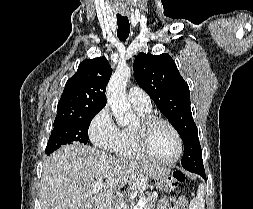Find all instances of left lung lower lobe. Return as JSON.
<instances>
[{
	"instance_id": "obj_1",
	"label": "left lung lower lobe",
	"mask_w": 253,
	"mask_h": 209,
	"mask_svg": "<svg viewBox=\"0 0 253 209\" xmlns=\"http://www.w3.org/2000/svg\"><path fill=\"white\" fill-rule=\"evenodd\" d=\"M191 172L197 173L200 176H202L203 178H205V170L203 167V164L198 165L194 170H192Z\"/></svg>"
}]
</instances>
